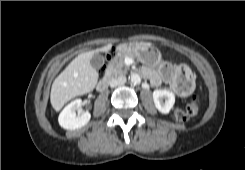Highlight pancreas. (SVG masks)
<instances>
[{"mask_svg": "<svg viewBox=\"0 0 245 170\" xmlns=\"http://www.w3.org/2000/svg\"><path fill=\"white\" fill-rule=\"evenodd\" d=\"M128 56L130 57L132 55L127 51H121L117 54L107 69L108 77L121 76L127 73L129 66L124 63V59Z\"/></svg>", "mask_w": 245, "mask_h": 170, "instance_id": "1", "label": "pancreas"}]
</instances>
